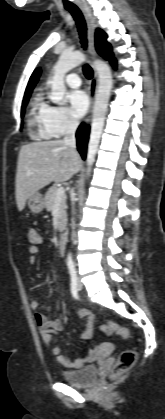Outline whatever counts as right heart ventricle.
Segmentation results:
<instances>
[{
	"label": "right heart ventricle",
	"mask_w": 165,
	"mask_h": 419,
	"mask_svg": "<svg viewBox=\"0 0 165 419\" xmlns=\"http://www.w3.org/2000/svg\"><path fill=\"white\" fill-rule=\"evenodd\" d=\"M47 104L42 94H37L32 101L29 116V127L35 138L48 139L51 136L46 123Z\"/></svg>",
	"instance_id": "e07e8e85"
}]
</instances>
